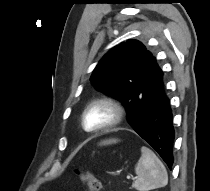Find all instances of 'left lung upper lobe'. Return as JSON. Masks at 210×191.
Wrapping results in <instances>:
<instances>
[{
  "label": "left lung upper lobe",
  "instance_id": "1",
  "mask_svg": "<svg viewBox=\"0 0 210 191\" xmlns=\"http://www.w3.org/2000/svg\"><path fill=\"white\" fill-rule=\"evenodd\" d=\"M160 71L153 54L141 42L129 40L111 49L99 61L90 81L95 88L120 100L132 123L142 97L149 94Z\"/></svg>",
  "mask_w": 210,
  "mask_h": 191
}]
</instances>
